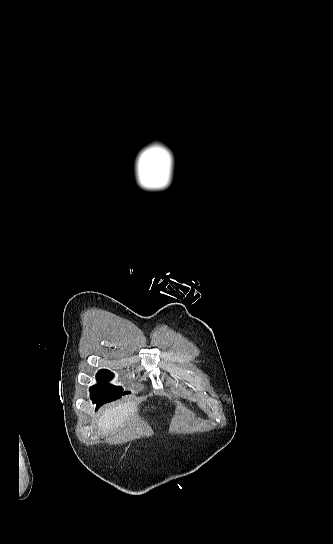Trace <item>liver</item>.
Instances as JSON below:
<instances>
[{"label":"liver","instance_id":"obj_1","mask_svg":"<svg viewBox=\"0 0 333 544\" xmlns=\"http://www.w3.org/2000/svg\"><path fill=\"white\" fill-rule=\"evenodd\" d=\"M137 410V402H127L119 404L106 410L99 419L98 428L104 434L118 429Z\"/></svg>","mask_w":333,"mask_h":544}]
</instances>
